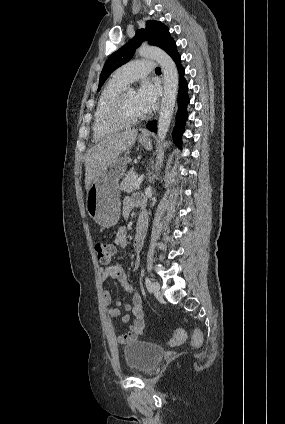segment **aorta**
<instances>
[{"mask_svg":"<svg viewBox=\"0 0 285 424\" xmlns=\"http://www.w3.org/2000/svg\"><path fill=\"white\" fill-rule=\"evenodd\" d=\"M141 57L156 60L164 75V95L158 118V138L163 141L170 127L175 101L178 92V72L174 61L166 52L158 47L141 46L138 49Z\"/></svg>","mask_w":285,"mask_h":424,"instance_id":"762f6f07","label":"aorta"}]
</instances>
